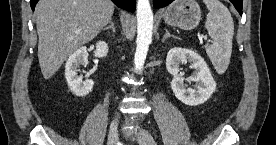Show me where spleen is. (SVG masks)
Listing matches in <instances>:
<instances>
[{"mask_svg":"<svg viewBox=\"0 0 276 145\" xmlns=\"http://www.w3.org/2000/svg\"><path fill=\"white\" fill-rule=\"evenodd\" d=\"M208 14L205 27L213 44L206 46V53L216 72L223 74L228 68L232 53L234 22L231 13L219 0L204 1Z\"/></svg>","mask_w":276,"mask_h":145,"instance_id":"1","label":"spleen"}]
</instances>
